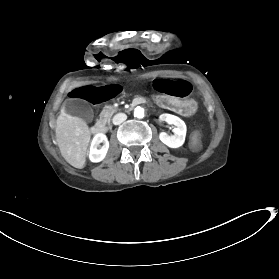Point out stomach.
<instances>
[{
    "label": "stomach",
    "mask_w": 279,
    "mask_h": 279,
    "mask_svg": "<svg viewBox=\"0 0 279 279\" xmlns=\"http://www.w3.org/2000/svg\"><path fill=\"white\" fill-rule=\"evenodd\" d=\"M154 103L158 107H162L173 111L180 110L181 114L185 117H193L198 112V105L193 100H183L167 95L165 97L158 96L155 98Z\"/></svg>",
    "instance_id": "obj_1"
}]
</instances>
